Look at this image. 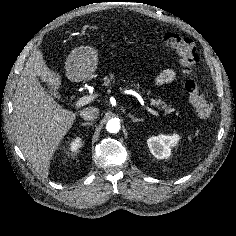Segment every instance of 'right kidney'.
<instances>
[{"instance_id": "ca27d5eb", "label": "right kidney", "mask_w": 236, "mask_h": 236, "mask_svg": "<svg viewBox=\"0 0 236 236\" xmlns=\"http://www.w3.org/2000/svg\"><path fill=\"white\" fill-rule=\"evenodd\" d=\"M80 147H81V138L80 137H76L75 139H73V141H71L69 143V149L72 152H76Z\"/></svg>"}]
</instances>
